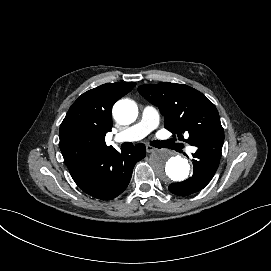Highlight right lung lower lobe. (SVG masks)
<instances>
[{"label": "right lung lower lobe", "mask_w": 271, "mask_h": 271, "mask_svg": "<svg viewBox=\"0 0 271 271\" xmlns=\"http://www.w3.org/2000/svg\"><path fill=\"white\" fill-rule=\"evenodd\" d=\"M145 155L143 144L122 152L107 147L71 176L86 194L100 200H111L126 189L135 164Z\"/></svg>", "instance_id": "98d812e1"}]
</instances>
